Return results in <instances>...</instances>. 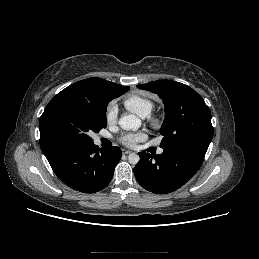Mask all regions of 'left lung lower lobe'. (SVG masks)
<instances>
[{"label": "left lung lower lobe", "mask_w": 259, "mask_h": 259, "mask_svg": "<svg viewBox=\"0 0 259 259\" xmlns=\"http://www.w3.org/2000/svg\"><path fill=\"white\" fill-rule=\"evenodd\" d=\"M205 154L192 148L163 149L160 155L140 152L134 174L144 189L156 194L170 193L195 175Z\"/></svg>", "instance_id": "0a47b994"}]
</instances>
